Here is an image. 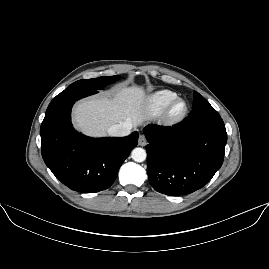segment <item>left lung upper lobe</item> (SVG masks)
<instances>
[{"label":"left lung upper lobe","mask_w":269,"mask_h":269,"mask_svg":"<svg viewBox=\"0 0 269 269\" xmlns=\"http://www.w3.org/2000/svg\"><path fill=\"white\" fill-rule=\"evenodd\" d=\"M220 117L218 112L210 105V103L202 97L198 92L194 91L193 108L189 116L185 118L186 122H197L209 118Z\"/></svg>","instance_id":"left-lung-upper-lobe-1"}]
</instances>
